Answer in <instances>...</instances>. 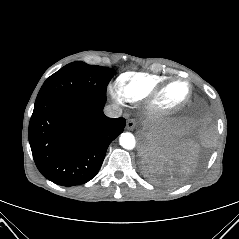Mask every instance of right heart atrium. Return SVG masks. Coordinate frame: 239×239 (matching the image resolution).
Wrapping results in <instances>:
<instances>
[{"label": "right heart atrium", "mask_w": 239, "mask_h": 239, "mask_svg": "<svg viewBox=\"0 0 239 239\" xmlns=\"http://www.w3.org/2000/svg\"><path fill=\"white\" fill-rule=\"evenodd\" d=\"M111 95L119 103L124 99L117 87L111 88Z\"/></svg>", "instance_id": "d8ad5b80"}]
</instances>
